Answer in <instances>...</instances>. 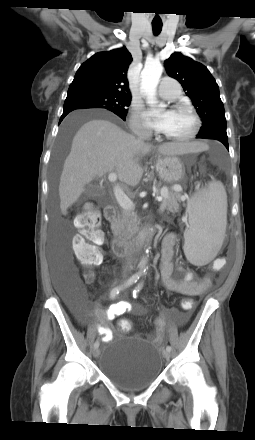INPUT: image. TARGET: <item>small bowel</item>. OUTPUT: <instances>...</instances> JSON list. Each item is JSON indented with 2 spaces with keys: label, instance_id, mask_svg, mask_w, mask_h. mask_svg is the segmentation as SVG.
<instances>
[{
  "label": "small bowel",
  "instance_id": "c3829d8e",
  "mask_svg": "<svg viewBox=\"0 0 255 440\" xmlns=\"http://www.w3.org/2000/svg\"><path fill=\"white\" fill-rule=\"evenodd\" d=\"M176 241H177V236L175 233H168L163 238L162 248H161L162 283L168 291L182 294L188 297L201 296L210 287L211 283L209 280H204V281L196 280L191 272L185 270L182 267H178L177 270L183 273V277L182 278L173 277L174 266L172 263V258L174 255V247ZM129 312H133V313L143 312V307L132 305L126 301H120L110 306L107 309L99 310V314L107 322ZM79 319L82 320V317L79 316ZM97 333L102 336V339L105 342L111 340L112 338L111 329L107 325H98Z\"/></svg>",
  "mask_w": 255,
  "mask_h": 440
}]
</instances>
